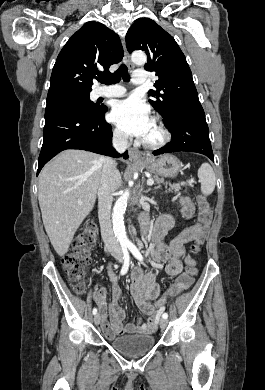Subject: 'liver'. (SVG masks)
<instances>
[{"label":"liver","instance_id":"obj_1","mask_svg":"<svg viewBox=\"0 0 265 390\" xmlns=\"http://www.w3.org/2000/svg\"><path fill=\"white\" fill-rule=\"evenodd\" d=\"M102 156L65 150L39 175L38 200L50 242L64 256L76 230L91 212L102 177Z\"/></svg>","mask_w":265,"mask_h":390}]
</instances>
